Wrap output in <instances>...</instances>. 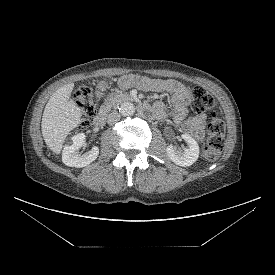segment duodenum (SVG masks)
Masks as SVG:
<instances>
[{
    "instance_id": "obj_1",
    "label": "duodenum",
    "mask_w": 275,
    "mask_h": 275,
    "mask_svg": "<svg viewBox=\"0 0 275 275\" xmlns=\"http://www.w3.org/2000/svg\"><path fill=\"white\" fill-rule=\"evenodd\" d=\"M139 107L144 114H150L152 112L151 106L146 102H139ZM107 119V111H100L94 118V125L96 127H102Z\"/></svg>"
}]
</instances>
